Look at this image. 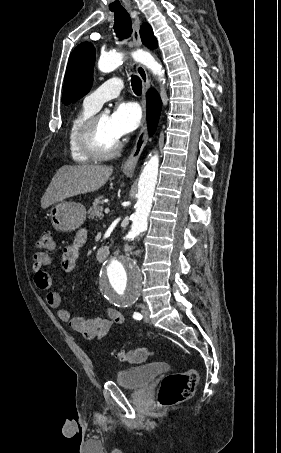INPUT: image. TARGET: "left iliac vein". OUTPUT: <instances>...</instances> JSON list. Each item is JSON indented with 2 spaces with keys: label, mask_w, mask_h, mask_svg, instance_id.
Wrapping results in <instances>:
<instances>
[{
  "label": "left iliac vein",
  "mask_w": 281,
  "mask_h": 453,
  "mask_svg": "<svg viewBox=\"0 0 281 453\" xmlns=\"http://www.w3.org/2000/svg\"><path fill=\"white\" fill-rule=\"evenodd\" d=\"M142 312H143V313H142ZM141 314L144 315V317H143L144 320H145L146 322H149V319H150V318H149V308H147V307H142Z\"/></svg>",
  "instance_id": "obj_1"
}]
</instances>
